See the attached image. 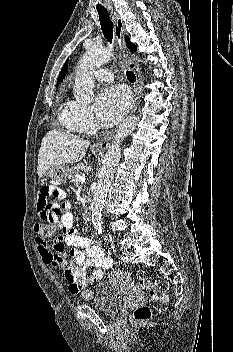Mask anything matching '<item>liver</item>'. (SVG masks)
Masks as SVG:
<instances>
[{
    "label": "liver",
    "instance_id": "liver-1",
    "mask_svg": "<svg viewBox=\"0 0 233 352\" xmlns=\"http://www.w3.org/2000/svg\"><path fill=\"white\" fill-rule=\"evenodd\" d=\"M89 147V141L51 130L44 136L38 155L37 174L41 178L52 166L80 162Z\"/></svg>",
    "mask_w": 233,
    "mask_h": 352
}]
</instances>
